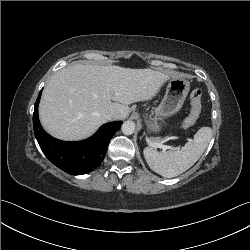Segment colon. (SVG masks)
Listing matches in <instances>:
<instances>
[{
  "mask_svg": "<svg viewBox=\"0 0 250 250\" xmlns=\"http://www.w3.org/2000/svg\"><path fill=\"white\" fill-rule=\"evenodd\" d=\"M190 100H191V110L189 115L180 125V129L182 130L190 128L197 121L201 112L202 91L200 89H194L191 92Z\"/></svg>",
  "mask_w": 250,
  "mask_h": 250,
  "instance_id": "obj_1",
  "label": "colon"
}]
</instances>
